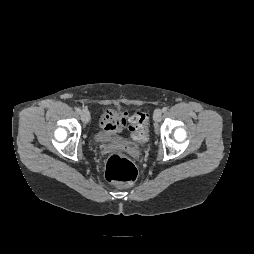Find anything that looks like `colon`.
<instances>
[{"mask_svg":"<svg viewBox=\"0 0 254 254\" xmlns=\"http://www.w3.org/2000/svg\"><path fill=\"white\" fill-rule=\"evenodd\" d=\"M132 138L143 142L148 135V116L145 112H136L132 115L129 125ZM105 178L110 182L122 185L133 184L138 176V169L135 164L118 152L109 154L104 166Z\"/></svg>","mask_w":254,"mask_h":254,"instance_id":"1","label":"colon"}]
</instances>
